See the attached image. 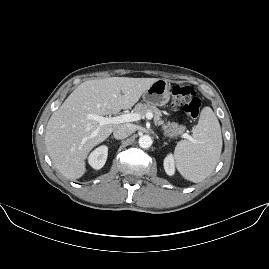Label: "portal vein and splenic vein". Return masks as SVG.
Masks as SVG:
<instances>
[{
    "label": "portal vein and splenic vein",
    "mask_w": 269,
    "mask_h": 269,
    "mask_svg": "<svg viewBox=\"0 0 269 269\" xmlns=\"http://www.w3.org/2000/svg\"><path fill=\"white\" fill-rule=\"evenodd\" d=\"M154 115L151 112H148L145 114V119L148 121L153 120ZM86 119L88 120H95L97 121L100 125H111V124H120V123H125V122H132V121H137L139 119V115L136 113H130V114H123L120 116H115V117H103V116H98L96 114L93 113H88L86 115ZM166 138L170 139V140H176L179 138H183V139H188L192 141V138L189 134L187 133H183L180 135H169V136H165Z\"/></svg>",
    "instance_id": "obj_1"
}]
</instances>
